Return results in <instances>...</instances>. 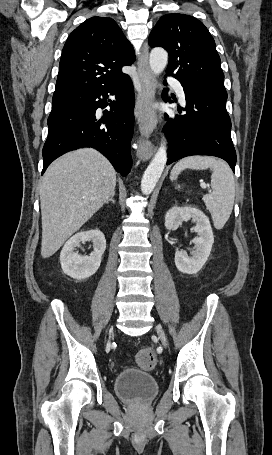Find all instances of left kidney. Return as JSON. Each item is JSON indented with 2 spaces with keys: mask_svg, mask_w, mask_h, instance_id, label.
Masks as SVG:
<instances>
[{
  "mask_svg": "<svg viewBox=\"0 0 272 455\" xmlns=\"http://www.w3.org/2000/svg\"><path fill=\"white\" fill-rule=\"evenodd\" d=\"M190 219L196 223L193 230L198 234V237L192 240L196 250L192 253V256H188L185 252L176 251L175 265L182 273L196 274L206 263L214 243L209 219L196 207L173 206L165 215V227L168 230H176L183 221Z\"/></svg>",
  "mask_w": 272,
  "mask_h": 455,
  "instance_id": "obj_1",
  "label": "left kidney"
}]
</instances>
